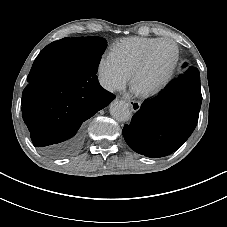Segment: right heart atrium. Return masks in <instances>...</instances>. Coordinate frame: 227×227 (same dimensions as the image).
<instances>
[{
    "label": "right heart atrium",
    "mask_w": 227,
    "mask_h": 227,
    "mask_svg": "<svg viewBox=\"0 0 227 227\" xmlns=\"http://www.w3.org/2000/svg\"><path fill=\"white\" fill-rule=\"evenodd\" d=\"M97 74L100 85L111 93L120 90L128 79L126 72L109 56L100 58Z\"/></svg>",
    "instance_id": "obj_1"
}]
</instances>
